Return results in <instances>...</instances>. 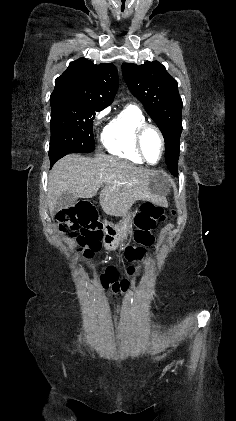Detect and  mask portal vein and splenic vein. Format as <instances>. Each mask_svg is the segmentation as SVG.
Listing matches in <instances>:
<instances>
[{
  "mask_svg": "<svg viewBox=\"0 0 236 421\" xmlns=\"http://www.w3.org/2000/svg\"><path fill=\"white\" fill-rule=\"evenodd\" d=\"M105 180H107V182H109V178H105Z\"/></svg>",
  "mask_w": 236,
  "mask_h": 421,
  "instance_id": "obj_1",
  "label": "portal vein and splenic vein"
}]
</instances>
